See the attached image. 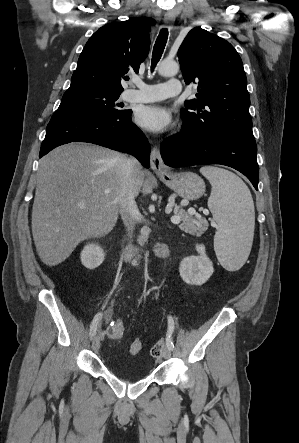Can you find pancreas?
<instances>
[{
    "instance_id": "1",
    "label": "pancreas",
    "mask_w": 299,
    "mask_h": 443,
    "mask_svg": "<svg viewBox=\"0 0 299 443\" xmlns=\"http://www.w3.org/2000/svg\"><path fill=\"white\" fill-rule=\"evenodd\" d=\"M177 216L181 220V224L178 227L188 234L201 236L208 229L207 220L197 214H190V211L185 212L181 209Z\"/></svg>"
}]
</instances>
